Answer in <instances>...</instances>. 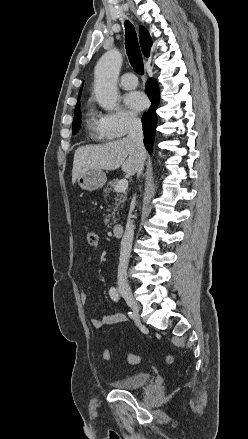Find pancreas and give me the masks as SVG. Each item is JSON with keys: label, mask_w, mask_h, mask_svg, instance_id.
Listing matches in <instances>:
<instances>
[{"label": "pancreas", "mask_w": 248, "mask_h": 439, "mask_svg": "<svg viewBox=\"0 0 248 439\" xmlns=\"http://www.w3.org/2000/svg\"><path fill=\"white\" fill-rule=\"evenodd\" d=\"M118 182H119L118 179L110 181V182L108 183L107 187L103 190V193H105L106 195L109 194V193L112 191V188H114L115 185H116ZM121 202H122L121 198H115L114 212H116V210H117V208H118V205H119V203H121ZM114 212H113V214H112V217H113V218L115 217ZM108 222H109V220H106L105 223L108 224ZM114 223H116L115 220H114ZM110 225H112V224H108L107 226L110 228Z\"/></svg>", "instance_id": "1"}]
</instances>
